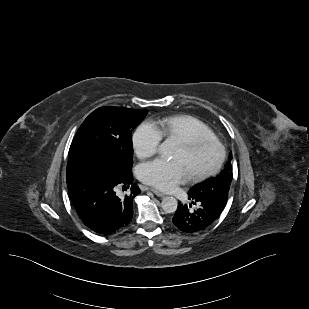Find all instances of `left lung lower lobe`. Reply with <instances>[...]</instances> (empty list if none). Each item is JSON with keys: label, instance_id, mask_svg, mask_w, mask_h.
<instances>
[{"label": "left lung lower lobe", "instance_id": "obj_1", "mask_svg": "<svg viewBox=\"0 0 309 309\" xmlns=\"http://www.w3.org/2000/svg\"><path fill=\"white\" fill-rule=\"evenodd\" d=\"M189 199L196 205L195 209H188L186 205L178 203L177 211L172 218L174 227L184 234H197L211 227L220 217L227 200L188 192ZM190 207L192 205L190 204Z\"/></svg>", "mask_w": 309, "mask_h": 309}]
</instances>
